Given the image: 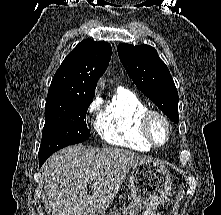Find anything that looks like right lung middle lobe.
Listing matches in <instances>:
<instances>
[{"label": "right lung middle lobe", "instance_id": "1", "mask_svg": "<svg viewBox=\"0 0 221 215\" xmlns=\"http://www.w3.org/2000/svg\"><path fill=\"white\" fill-rule=\"evenodd\" d=\"M91 102L63 101L45 105V125L39 158L49 157L63 147L89 138L85 118Z\"/></svg>", "mask_w": 221, "mask_h": 215}]
</instances>
